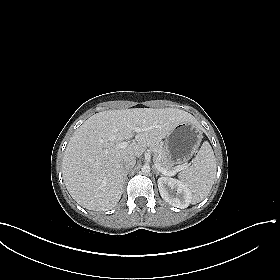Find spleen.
<instances>
[{"mask_svg": "<svg viewBox=\"0 0 280 280\" xmlns=\"http://www.w3.org/2000/svg\"><path fill=\"white\" fill-rule=\"evenodd\" d=\"M216 159L212 147L205 141L193 160V164L180 173L181 182L193 194L192 203L202 201L210 192L216 177Z\"/></svg>", "mask_w": 280, "mask_h": 280, "instance_id": "obj_1", "label": "spleen"}]
</instances>
